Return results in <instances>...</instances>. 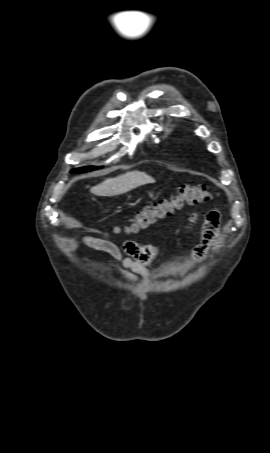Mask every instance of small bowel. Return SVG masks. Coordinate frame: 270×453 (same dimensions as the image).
Returning a JSON list of instances; mask_svg holds the SVG:
<instances>
[{
	"mask_svg": "<svg viewBox=\"0 0 270 453\" xmlns=\"http://www.w3.org/2000/svg\"><path fill=\"white\" fill-rule=\"evenodd\" d=\"M197 213H192L188 217L185 227L190 232L196 220ZM220 226V213L212 210L205 215L201 227L200 243L193 250V257L196 262H201L212 245L217 239ZM81 243L93 249L106 252L113 257L121 266L118 273L130 284H135L138 278L150 277V266L157 256V249L153 245H138L136 242L127 240L122 246L91 236L83 237Z\"/></svg>",
	"mask_w": 270,
	"mask_h": 453,
	"instance_id": "c3829d8e",
	"label": "small bowel"
}]
</instances>
